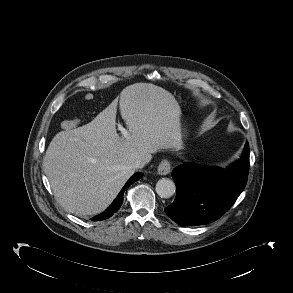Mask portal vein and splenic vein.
Segmentation results:
<instances>
[{
    "label": "portal vein and splenic vein",
    "mask_w": 293,
    "mask_h": 293,
    "mask_svg": "<svg viewBox=\"0 0 293 293\" xmlns=\"http://www.w3.org/2000/svg\"><path fill=\"white\" fill-rule=\"evenodd\" d=\"M118 130L121 131L122 135L124 136V138H125L126 140L129 139V132H128V131H127L122 125H119V126H118Z\"/></svg>",
    "instance_id": "obj_1"
}]
</instances>
